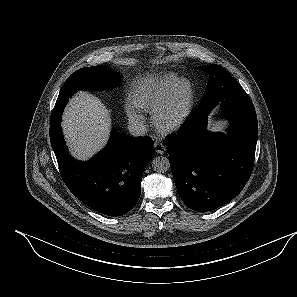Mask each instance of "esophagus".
Segmentation results:
<instances>
[{
  "mask_svg": "<svg viewBox=\"0 0 297 297\" xmlns=\"http://www.w3.org/2000/svg\"><path fill=\"white\" fill-rule=\"evenodd\" d=\"M153 147H154L155 152L158 154H164V152L166 150L164 144L161 143L160 141H156L154 143Z\"/></svg>",
  "mask_w": 297,
  "mask_h": 297,
  "instance_id": "1",
  "label": "esophagus"
}]
</instances>
